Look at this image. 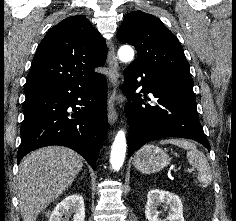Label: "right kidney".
I'll list each match as a JSON object with an SVG mask.
<instances>
[{
	"label": "right kidney",
	"mask_w": 236,
	"mask_h": 221,
	"mask_svg": "<svg viewBox=\"0 0 236 221\" xmlns=\"http://www.w3.org/2000/svg\"><path fill=\"white\" fill-rule=\"evenodd\" d=\"M73 214L72 221H84L85 206L84 199L80 194H72L65 197L54 208L49 221H64L63 216Z\"/></svg>",
	"instance_id": "1"
}]
</instances>
